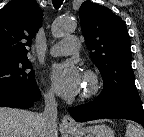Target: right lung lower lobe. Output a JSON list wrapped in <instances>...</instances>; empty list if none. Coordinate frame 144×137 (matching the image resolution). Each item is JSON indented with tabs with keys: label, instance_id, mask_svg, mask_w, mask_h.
Wrapping results in <instances>:
<instances>
[{
	"label": "right lung lower lobe",
	"instance_id": "right-lung-lower-lobe-1",
	"mask_svg": "<svg viewBox=\"0 0 144 137\" xmlns=\"http://www.w3.org/2000/svg\"><path fill=\"white\" fill-rule=\"evenodd\" d=\"M41 97L40 91L36 96L29 97L13 91L0 92V107L30 108L33 102Z\"/></svg>",
	"mask_w": 144,
	"mask_h": 137
}]
</instances>
